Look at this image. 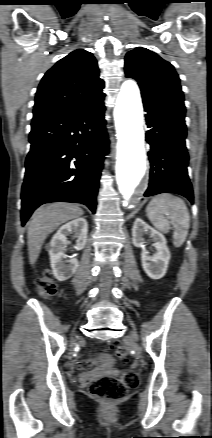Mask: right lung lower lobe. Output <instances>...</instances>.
<instances>
[{
  "label": "right lung lower lobe",
  "instance_id": "obj_1",
  "mask_svg": "<svg viewBox=\"0 0 212 438\" xmlns=\"http://www.w3.org/2000/svg\"><path fill=\"white\" fill-rule=\"evenodd\" d=\"M103 102L32 120L22 186V225L48 202H78L95 213L104 155L108 153Z\"/></svg>",
  "mask_w": 212,
  "mask_h": 438
}]
</instances>
